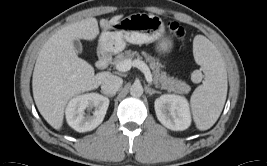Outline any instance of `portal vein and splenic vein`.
<instances>
[{"label": "portal vein and splenic vein", "instance_id": "18ae733b", "mask_svg": "<svg viewBox=\"0 0 267 166\" xmlns=\"http://www.w3.org/2000/svg\"><path fill=\"white\" fill-rule=\"evenodd\" d=\"M132 66L140 69L144 73L147 82L150 85L152 84L153 78H152V74L150 72V69L141 60H133V61L132 60H124V61H122L116 65V69L120 72H127L131 69Z\"/></svg>", "mask_w": 267, "mask_h": 166}]
</instances>
